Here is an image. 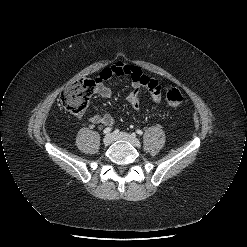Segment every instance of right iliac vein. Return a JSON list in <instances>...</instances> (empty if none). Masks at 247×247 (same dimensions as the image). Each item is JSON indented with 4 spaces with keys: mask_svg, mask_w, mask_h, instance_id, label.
Masks as SVG:
<instances>
[{
    "mask_svg": "<svg viewBox=\"0 0 247 247\" xmlns=\"http://www.w3.org/2000/svg\"><path fill=\"white\" fill-rule=\"evenodd\" d=\"M113 141V135L111 134H107L104 138H103V144L104 145H110Z\"/></svg>",
    "mask_w": 247,
    "mask_h": 247,
    "instance_id": "obj_1",
    "label": "right iliac vein"
}]
</instances>
